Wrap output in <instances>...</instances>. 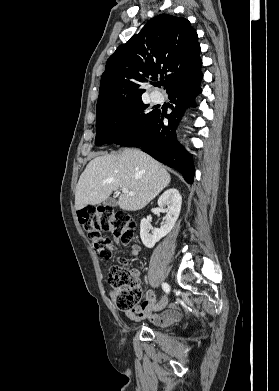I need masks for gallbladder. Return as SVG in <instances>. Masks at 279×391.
I'll return each instance as SVG.
<instances>
[{
  "instance_id": "1",
  "label": "gallbladder",
  "mask_w": 279,
  "mask_h": 391,
  "mask_svg": "<svg viewBox=\"0 0 279 391\" xmlns=\"http://www.w3.org/2000/svg\"><path fill=\"white\" fill-rule=\"evenodd\" d=\"M104 205H109V206H116L117 205V201L114 199V198H108L106 199L104 202H103Z\"/></svg>"
}]
</instances>
